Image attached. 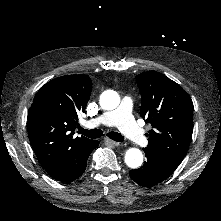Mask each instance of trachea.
Segmentation results:
<instances>
[{"label": "trachea", "mask_w": 221, "mask_h": 221, "mask_svg": "<svg viewBox=\"0 0 221 221\" xmlns=\"http://www.w3.org/2000/svg\"><path fill=\"white\" fill-rule=\"evenodd\" d=\"M78 133L82 134L88 138H100L101 136H103V132L99 129H91V130H87V129H83L81 126H78ZM108 137L111 138L112 140L116 141V142H124L126 139L124 136H122L120 133L118 132H110L108 133Z\"/></svg>", "instance_id": "1"}]
</instances>
